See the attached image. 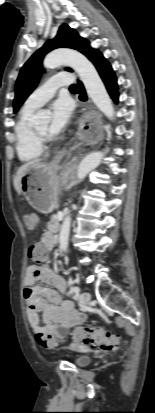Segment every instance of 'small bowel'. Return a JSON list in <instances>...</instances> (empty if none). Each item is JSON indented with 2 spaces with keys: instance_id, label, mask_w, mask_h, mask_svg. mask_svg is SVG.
<instances>
[{
  "instance_id": "obj_1",
  "label": "small bowel",
  "mask_w": 155,
  "mask_h": 413,
  "mask_svg": "<svg viewBox=\"0 0 155 413\" xmlns=\"http://www.w3.org/2000/svg\"><path fill=\"white\" fill-rule=\"evenodd\" d=\"M25 227H36V218H25ZM55 239L52 232L42 236V245L50 250ZM38 281L51 286L41 287ZM24 298L26 303L27 318L30 327L36 334V340L46 337L59 341L75 325L86 321V317L79 314L70 300L63 299L67 284L65 279L52 272L46 266L30 265L24 279ZM39 313L42 314V320Z\"/></svg>"
}]
</instances>
